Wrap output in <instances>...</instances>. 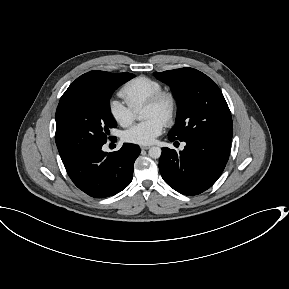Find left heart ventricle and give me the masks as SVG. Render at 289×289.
<instances>
[{
    "label": "left heart ventricle",
    "instance_id": "1",
    "mask_svg": "<svg viewBox=\"0 0 289 289\" xmlns=\"http://www.w3.org/2000/svg\"><path fill=\"white\" fill-rule=\"evenodd\" d=\"M164 107H144L142 111V116L144 119H149L151 117H158L163 120Z\"/></svg>",
    "mask_w": 289,
    "mask_h": 289
}]
</instances>
